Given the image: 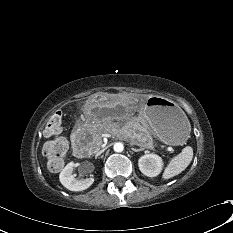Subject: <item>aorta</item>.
<instances>
[{
    "label": "aorta",
    "instance_id": "obj_1",
    "mask_svg": "<svg viewBox=\"0 0 233 233\" xmlns=\"http://www.w3.org/2000/svg\"><path fill=\"white\" fill-rule=\"evenodd\" d=\"M113 149L115 152H122L124 150V145L120 142L114 144Z\"/></svg>",
    "mask_w": 233,
    "mask_h": 233
}]
</instances>
